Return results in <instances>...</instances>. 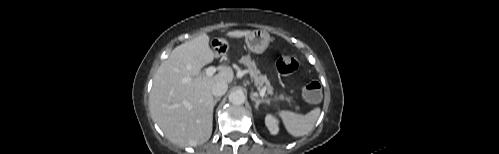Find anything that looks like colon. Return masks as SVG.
Returning a JSON list of instances; mask_svg holds the SVG:
<instances>
[{
	"instance_id": "1",
	"label": "colon",
	"mask_w": 499,
	"mask_h": 154,
	"mask_svg": "<svg viewBox=\"0 0 499 154\" xmlns=\"http://www.w3.org/2000/svg\"><path fill=\"white\" fill-rule=\"evenodd\" d=\"M298 57L292 52L283 53L277 61V69L280 73L289 75L298 69ZM322 94L321 85L317 81L308 83L304 90L303 95L305 99L311 103H316L320 100Z\"/></svg>"
}]
</instances>
